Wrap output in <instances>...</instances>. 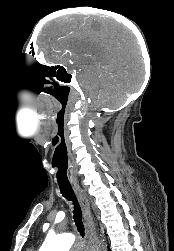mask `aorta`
<instances>
[{
    "mask_svg": "<svg viewBox=\"0 0 174 251\" xmlns=\"http://www.w3.org/2000/svg\"><path fill=\"white\" fill-rule=\"evenodd\" d=\"M75 241L71 233L55 235L46 239L39 251H69Z\"/></svg>",
    "mask_w": 174,
    "mask_h": 251,
    "instance_id": "1",
    "label": "aorta"
}]
</instances>
